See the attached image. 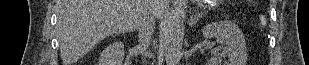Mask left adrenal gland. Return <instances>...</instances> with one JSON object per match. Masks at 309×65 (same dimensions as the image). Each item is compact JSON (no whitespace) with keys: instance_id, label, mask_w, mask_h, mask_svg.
Returning a JSON list of instances; mask_svg holds the SVG:
<instances>
[{"instance_id":"1","label":"left adrenal gland","mask_w":309,"mask_h":65,"mask_svg":"<svg viewBox=\"0 0 309 65\" xmlns=\"http://www.w3.org/2000/svg\"><path fill=\"white\" fill-rule=\"evenodd\" d=\"M203 13L198 14L197 16H191L189 21V26L192 28L196 25V23L199 21V19L202 17Z\"/></svg>"}]
</instances>
